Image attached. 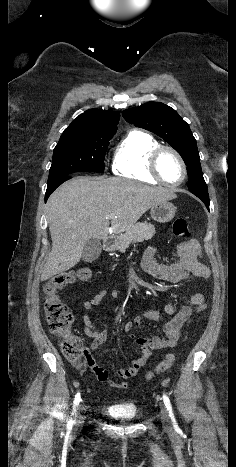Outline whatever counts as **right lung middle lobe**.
Returning a JSON list of instances; mask_svg holds the SVG:
<instances>
[{
    "label": "right lung middle lobe",
    "instance_id": "1",
    "mask_svg": "<svg viewBox=\"0 0 236 467\" xmlns=\"http://www.w3.org/2000/svg\"><path fill=\"white\" fill-rule=\"evenodd\" d=\"M114 133L63 132L54 148L48 182L82 171H104V159Z\"/></svg>",
    "mask_w": 236,
    "mask_h": 467
}]
</instances>
